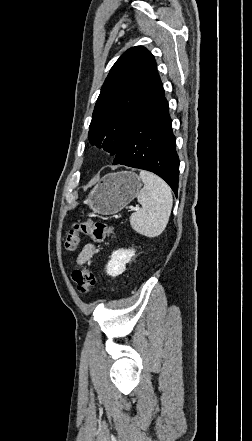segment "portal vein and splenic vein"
<instances>
[{
	"instance_id": "1",
	"label": "portal vein and splenic vein",
	"mask_w": 252,
	"mask_h": 441,
	"mask_svg": "<svg viewBox=\"0 0 252 441\" xmlns=\"http://www.w3.org/2000/svg\"><path fill=\"white\" fill-rule=\"evenodd\" d=\"M137 209H138V208H135V207H132V206L130 207V210H131V211H134V210H137Z\"/></svg>"
}]
</instances>
